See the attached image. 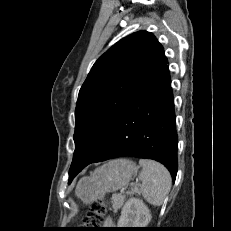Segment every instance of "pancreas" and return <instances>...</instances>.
<instances>
[{
    "instance_id": "obj_1",
    "label": "pancreas",
    "mask_w": 231,
    "mask_h": 231,
    "mask_svg": "<svg viewBox=\"0 0 231 231\" xmlns=\"http://www.w3.org/2000/svg\"><path fill=\"white\" fill-rule=\"evenodd\" d=\"M133 193L134 192L132 191V192H128L127 194L132 195ZM111 199H112V207L116 211V210H118L119 208L122 207V205H123V203H124V201L126 199V195H124V194H114Z\"/></svg>"
}]
</instances>
